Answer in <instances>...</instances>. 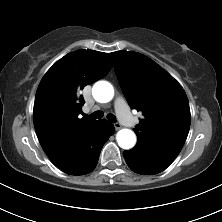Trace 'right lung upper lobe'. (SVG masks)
Instances as JSON below:
<instances>
[{
  "instance_id": "right-lung-upper-lobe-1",
  "label": "right lung upper lobe",
  "mask_w": 222,
  "mask_h": 222,
  "mask_svg": "<svg viewBox=\"0 0 222 222\" xmlns=\"http://www.w3.org/2000/svg\"><path fill=\"white\" fill-rule=\"evenodd\" d=\"M112 65L107 53L77 50L58 60L38 86L35 130L45 153L64 172L83 161L89 134L100 123L80 117L84 104L80 90L106 76Z\"/></svg>"
}]
</instances>
